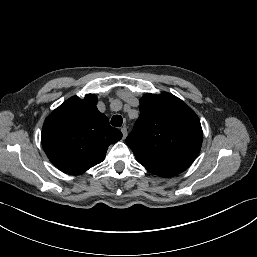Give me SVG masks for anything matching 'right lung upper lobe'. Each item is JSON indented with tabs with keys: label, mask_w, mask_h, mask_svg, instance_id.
<instances>
[{
	"label": "right lung upper lobe",
	"mask_w": 257,
	"mask_h": 257,
	"mask_svg": "<svg viewBox=\"0 0 257 257\" xmlns=\"http://www.w3.org/2000/svg\"><path fill=\"white\" fill-rule=\"evenodd\" d=\"M97 96L71 97L45 120L42 146L51 163L64 173L81 174L103 161L122 133L96 107Z\"/></svg>",
	"instance_id": "1"
}]
</instances>
